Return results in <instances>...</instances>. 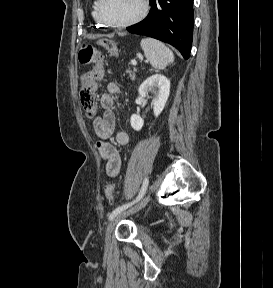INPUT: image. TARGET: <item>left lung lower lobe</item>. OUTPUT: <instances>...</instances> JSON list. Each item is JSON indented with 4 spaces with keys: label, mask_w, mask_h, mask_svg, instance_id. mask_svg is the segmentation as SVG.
<instances>
[{
    "label": "left lung lower lobe",
    "mask_w": 273,
    "mask_h": 288,
    "mask_svg": "<svg viewBox=\"0 0 273 288\" xmlns=\"http://www.w3.org/2000/svg\"><path fill=\"white\" fill-rule=\"evenodd\" d=\"M150 5L148 16L127 30L169 43L188 59L193 37V0H150Z\"/></svg>",
    "instance_id": "0a47b994"
}]
</instances>
